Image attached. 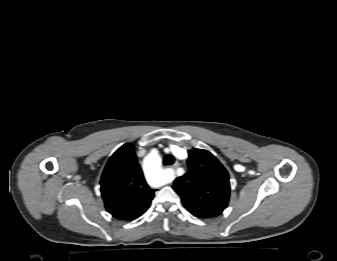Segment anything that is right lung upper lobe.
I'll list each match as a JSON object with an SVG mask.
<instances>
[{
    "mask_svg": "<svg viewBox=\"0 0 337 261\" xmlns=\"http://www.w3.org/2000/svg\"><path fill=\"white\" fill-rule=\"evenodd\" d=\"M133 148L130 143L121 146L110 157L100 181L108 212L115 218L129 221L149 208L155 192L147 185Z\"/></svg>",
    "mask_w": 337,
    "mask_h": 261,
    "instance_id": "1",
    "label": "right lung upper lobe"
}]
</instances>
